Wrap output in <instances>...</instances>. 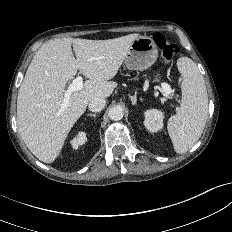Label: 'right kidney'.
I'll return each mask as SVG.
<instances>
[{"label": "right kidney", "instance_id": "right-kidney-1", "mask_svg": "<svg viewBox=\"0 0 232 232\" xmlns=\"http://www.w3.org/2000/svg\"><path fill=\"white\" fill-rule=\"evenodd\" d=\"M86 141V134L84 132H79L76 137L70 141V143L74 149H78V147L83 145Z\"/></svg>", "mask_w": 232, "mask_h": 232}]
</instances>
